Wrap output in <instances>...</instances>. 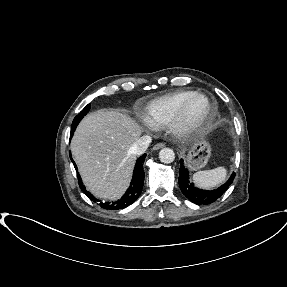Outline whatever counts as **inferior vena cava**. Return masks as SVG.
Wrapping results in <instances>:
<instances>
[{
	"instance_id": "602c4592",
	"label": "inferior vena cava",
	"mask_w": 287,
	"mask_h": 287,
	"mask_svg": "<svg viewBox=\"0 0 287 287\" xmlns=\"http://www.w3.org/2000/svg\"><path fill=\"white\" fill-rule=\"evenodd\" d=\"M152 139L150 136L146 135V136H142L140 137L130 148V153L134 154V155H141L143 154L149 144L151 143Z\"/></svg>"
}]
</instances>
